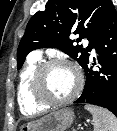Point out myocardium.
Returning a JSON list of instances; mask_svg holds the SVG:
<instances>
[{"label":"myocardium","mask_w":117,"mask_h":131,"mask_svg":"<svg viewBox=\"0 0 117 131\" xmlns=\"http://www.w3.org/2000/svg\"><path fill=\"white\" fill-rule=\"evenodd\" d=\"M55 66H66L70 68L75 73L77 78V84L74 91L68 97L60 100L49 98L45 94L43 89V81H44L45 73L50 68ZM83 83H84L83 75L76 65L65 59H49L47 61L40 63L38 67L35 69L31 80L30 90L33 99L37 103L44 106L56 107V106H63L73 102L81 93L83 88Z\"/></svg>","instance_id":"obj_1"}]
</instances>
